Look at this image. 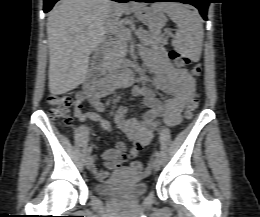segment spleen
<instances>
[{
    "instance_id": "1",
    "label": "spleen",
    "mask_w": 260,
    "mask_h": 217,
    "mask_svg": "<svg viewBox=\"0 0 260 217\" xmlns=\"http://www.w3.org/2000/svg\"><path fill=\"white\" fill-rule=\"evenodd\" d=\"M153 7L165 12L177 24L178 30L172 46L186 56L199 57L203 26L197 13L178 3H159Z\"/></svg>"
}]
</instances>
